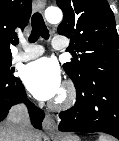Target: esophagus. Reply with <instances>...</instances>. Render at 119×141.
I'll use <instances>...</instances> for the list:
<instances>
[{
  "label": "esophagus",
  "instance_id": "34e87169",
  "mask_svg": "<svg viewBox=\"0 0 119 141\" xmlns=\"http://www.w3.org/2000/svg\"><path fill=\"white\" fill-rule=\"evenodd\" d=\"M46 4L45 0H34L33 1V11H41ZM43 128L46 132H54L57 129V123L50 113H46L43 120Z\"/></svg>",
  "mask_w": 119,
  "mask_h": 141
}]
</instances>
